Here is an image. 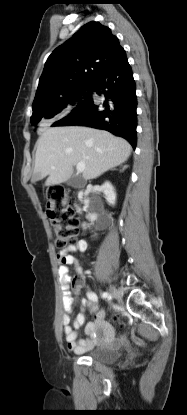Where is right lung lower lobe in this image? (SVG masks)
I'll use <instances>...</instances> for the list:
<instances>
[{
	"label": "right lung lower lobe",
	"instance_id": "1",
	"mask_svg": "<svg viewBox=\"0 0 187 415\" xmlns=\"http://www.w3.org/2000/svg\"><path fill=\"white\" fill-rule=\"evenodd\" d=\"M103 91L105 100L97 103L90 94L65 118L53 126L81 125L107 130L136 146V86L131 66L123 51L92 83V91Z\"/></svg>",
	"mask_w": 187,
	"mask_h": 415
}]
</instances>
